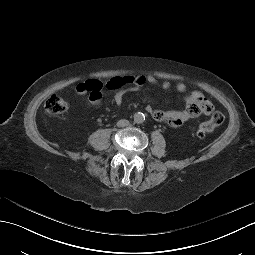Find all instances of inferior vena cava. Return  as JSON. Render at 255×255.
I'll return each instance as SVG.
<instances>
[{
	"instance_id": "inferior-vena-cava-1",
	"label": "inferior vena cava",
	"mask_w": 255,
	"mask_h": 255,
	"mask_svg": "<svg viewBox=\"0 0 255 255\" xmlns=\"http://www.w3.org/2000/svg\"><path fill=\"white\" fill-rule=\"evenodd\" d=\"M129 125V121L126 119H121L117 122L118 127H126Z\"/></svg>"
}]
</instances>
